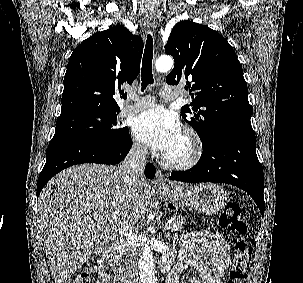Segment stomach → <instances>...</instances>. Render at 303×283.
Segmentation results:
<instances>
[{
	"label": "stomach",
	"instance_id": "stomach-1",
	"mask_svg": "<svg viewBox=\"0 0 303 283\" xmlns=\"http://www.w3.org/2000/svg\"><path fill=\"white\" fill-rule=\"evenodd\" d=\"M160 192L167 198L166 206L177 209L183 200L190 208L201 214L212 215L221 210L227 202V193L215 184H200L184 187L181 190L160 187Z\"/></svg>",
	"mask_w": 303,
	"mask_h": 283
}]
</instances>
